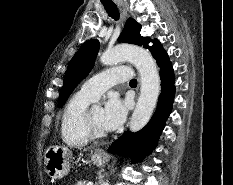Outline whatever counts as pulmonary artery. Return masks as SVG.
Here are the masks:
<instances>
[{
	"label": "pulmonary artery",
	"mask_w": 233,
	"mask_h": 185,
	"mask_svg": "<svg viewBox=\"0 0 233 185\" xmlns=\"http://www.w3.org/2000/svg\"><path fill=\"white\" fill-rule=\"evenodd\" d=\"M130 78L131 69L128 67L108 68L85 81L79 92L92 100H97L107 89Z\"/></svg>",
	"instance_id": "e3ab8cb5"
}]
</instances>
